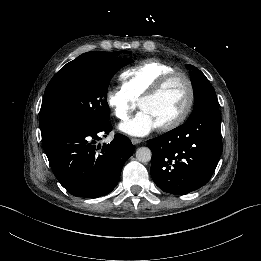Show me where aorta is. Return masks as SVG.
<instances>
[{
  "mask_svg": "<svg viewBox=\"0 0 261 261\" xmlns=\"http://www.w3.org/2000/svg\"><path fill=\"white\" fill-rule=\"evenodd\" d=\"M151 150L148 147H140L136 151V159L141 163H146L151 160Z\"/></svg>",
  "mask_w": 261,
  "mask_h": 261,
  "instance_id": "aorta-1",
  "label": "aorta"
}]
</instances>
